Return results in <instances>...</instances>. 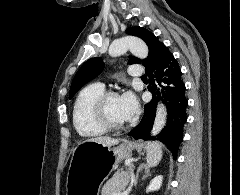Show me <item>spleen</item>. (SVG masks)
I'll return each instance as SVG.
<instances>
[{"label":"spleen","mask_w":240,"mask_h":195,"mask_svg":"<svg viewBox=\"0 0 240 195\" xmlns=\"http://www.w3.org/2000/svg\"><path fill=\"white\" fill-rule=\"evenodd\" d=\"M161 147L162 143H159V141H148L146 157L148 167H155L160 163L163 155Z\"/></svg>","instance_id":"spleen-1"}]
</instances>
